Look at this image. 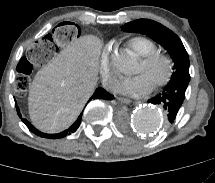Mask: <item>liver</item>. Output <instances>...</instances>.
Listing matches in <instances>:
<instances>
[{"label":"liver","instance_id":"obj_1","mask_svg":"<svg viewBox=\"0 0 215 183\" xmlns=\"http://www.w3.org/2000/svg\"><path fill=\"white\" fill-rule=\"evenodd\" d=\"M101 48L96 36L80 37L36 73L28 108L37 129L58 133L77 119L96 87Z\"/></svg>","mask_w":215,"mask_h":183}]
</instances>
